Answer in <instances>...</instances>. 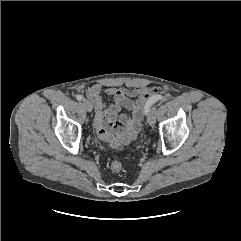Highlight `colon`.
Wrapping results in <instances>:
<instances>
[{"mask_svg": "<svg viewBox=\"0 0 241 241\" xmlns=\"http://www.w3.org/2000/svg\"><path fill=\"white\" fill-rule=\"evenodd\" d=\"M110 169L113 172H119L122 169V164L118 160H114L110 163Z\"/></svg>", "mask_w": 241, "mask_h": 241, "instance_id": "1", "label": "colon"}]
</instances>
